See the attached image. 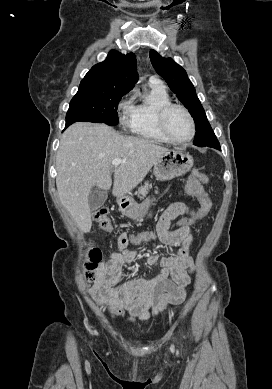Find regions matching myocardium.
I'll return each instance as SVG.
<instances>
[{
  "instance_id": "obj_1",
  "label": "myocardium",
  "mask_w": 272,
  "mask_h": 389,
  "mask_svg": "<svg viewBox=\"0 0 272 389\" xmlns=\"http://www.w3.org/2000/svg\"><path fill=\"white\" fill-rule=\"evenodd\" d=\"M173 109H180V110H182L186 114V116H187V118H188V120L190 122L191 134L186 139H183V140L176 139L168 131V128H167V117H168V114ZM157 122H158V127H159L161 133L168 139V141H170L172 143H175V144H185V143H188V142H190L194 138V136L196 134V125H195L194 118H193L192 114L190 113V111L185 106H183L181 104H177V103H172L171 102V103H168V104L164 105L158 112Z\"/></svg>"
}]
</instances>
